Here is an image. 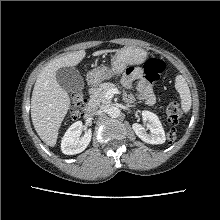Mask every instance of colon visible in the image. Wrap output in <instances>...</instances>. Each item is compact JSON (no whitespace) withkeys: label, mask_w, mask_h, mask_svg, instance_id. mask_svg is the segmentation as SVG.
<instances>
[{"label":"colon","mask_w":220,"mask_h":220,"mask_svg":"<svg viewBox=\"0 0 220 220\" xmlns=\"http://www.w3.org/2000/svg\"><path fill=\"white\" fill-rule=\"evenodd\" d=\"M143 69L146 79L150 83H155L159 80L160 75L164 70V66L162 61L155 58H150L145 62ZM86 105V95L81 91L75 93L71 98L70 119L74 120L82 116L86 110ZM166 115L169 123L176 124L180 120L182 112L178 105L170 104L167 107ZM167 140L168 142H174L176 140L175 130H170L167 133Z\"/></svg>","instance_id":"1"}]
</instances>
